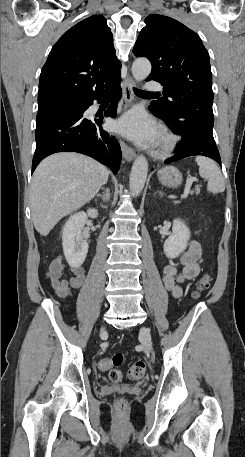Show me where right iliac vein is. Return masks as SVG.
<instances>
[{
	"instance_id": "right-iliac-vein-1",
	"label": "right iliac vein",
	"mask_w": 245,
	"mask_h": 457,
	"mask_svg": "<svg viewBox=\"0 0 245 457\" xmlns=\"http://www.w3.org/2000/svg\"><path fill=\"white\" fill-rule=\"evenodd\" d=\"M100 332H101V334H104V333L106 332V327H105V325H102V326H101V331H100Z\"/></svg>"
}]
</instances>
